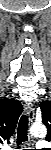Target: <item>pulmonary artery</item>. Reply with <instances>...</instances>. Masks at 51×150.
I'll list each match as a JSON object with an SVG mask.
<instances>
[{
    "mask_svg": "<svg viewBox=\"0 0 51 150\" xmlns=\"http://www.w3.org/2000/svg\"><path fill=\"white\" fill-rule=\"evenodd\" d=\"M45 146H48V143L47 142H43V141H41V142H38L37 143V147L38 148H41V147H45ZM7 150H20V149H7Z\"/></svg>",
    "mask_w": 51,
    "mask_h": 150,
    "instance_id": "pulmonary-artery-1",
    "label": "pulmonary artery"
}]
</instances>
